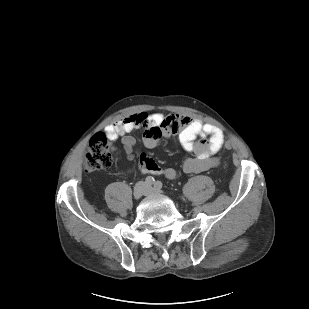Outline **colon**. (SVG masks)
<instances>
[{
  "instance_id": "1",
  "label": "colon",
  "mask_w": 309,
  "mask_h": 309,
  "mask_svg": "<svg viewBox=\"0 0 309 309\" xmlns=\"http://www.w3.org/2000/svg\"><path fill=\"white\" fill-rule=\"evenodd\" d=\"M223 148L231 149L230 142H223ZM112 164V149L109 138L105 134L96 135L87 145L84 158L83 168L86 172H95L107 169Z\"/></svg>"
}]
</instances>
